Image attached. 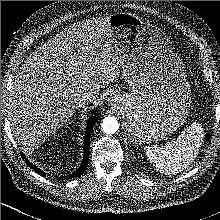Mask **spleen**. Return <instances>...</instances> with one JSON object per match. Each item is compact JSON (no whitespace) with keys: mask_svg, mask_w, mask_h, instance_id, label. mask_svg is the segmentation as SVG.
Wrapping results in <instances>:
<instances>
[{"mask_svg":"<svg viewBox=\"0 0 220 220\" xmlns=\"http://www.w3.org/2000/svg\"><path fill=\"white\" fill-rule=\"evenodd\" d=\"M203 141L200 123L193 122L171 143L164 146H145L147 158L162 173L176 174L191 165L198 155Z\"/></svg>","mask_w":220,"mask_h":220,"instance_id":"3e777b00","label":"spleen"}]
</instances>
